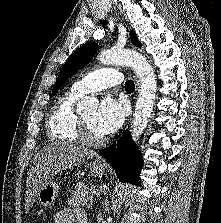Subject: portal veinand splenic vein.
Listing matches in <instances>:
<instances>
[{
    "mask_svg": "<svg viewBox=\"0 0 221 223\" xmlns=\"http://www.w3.org/2000/svg\"><path fill=\"white\" fill-rule=\"evenodd\" d=\"M92 193H95L96 194L97 192L96 191H93Z\"/></svg>",
    "mask_w": 221,
    "mask_h": 223,
    "instance_id": "1",
    "label": "portal vein and splenic vein"
}]
</instances>
